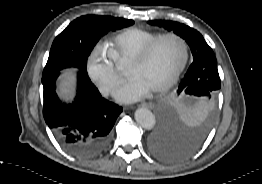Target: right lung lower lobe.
Returning a JSON list of instances; mask_svg holds the SVG:
<instances>
[{
	"instance_id": "obj_1",
	"label": "right lung lower lobe",
	"mask_w": 262,
	"mask_h": 184,
	"mask_svg": "<svg viewBox=\"0 0 262 184\" xmlns=\"http://www.w3.org/2000/svg\"><path fill=\"white\" fill-rule=\"evenodd\" d=\"M59 74L55 72L42 76L44 119L72 155L96 157L108 147L111 129L122 108L104 99L87 73L81 70L75 100L69 104L62 102L56 93Z\"/></svg>"
}]
</instances>
